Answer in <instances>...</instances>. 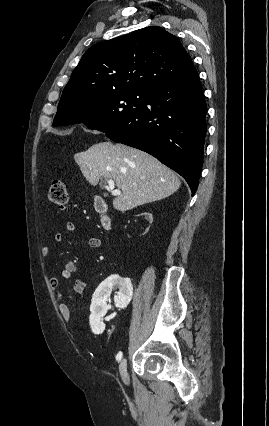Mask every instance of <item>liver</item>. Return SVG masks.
<instances>
[{
  "instance_id": "liver-1",
  "label": "liver",
  "mask_w": 269,
  "mask_h": 426,
  "mask_svg": "<svg viewBox=\"0 0 269 426\" xmlns=\"http://www.w3.org/2000/svg\"><path fill=\"white\" fill-rule=\"evenodd\" d=\"M74 159L92 186L114 180L121 195L114 198L113 207L122 212L162 200L181 185L177 174L156 158L123 144L97 143Z\"/></svg>"
}]
</instances>
